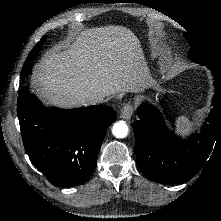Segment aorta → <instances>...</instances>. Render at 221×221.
I'll return each instance as SVG.
<instances>
[{
  "label": "aorta",
  "instance_id": "obj_1",
  "mask_svg": "<svg viewBox=\"0 0 221 221\" xmlns=\"http://www.w3.org/2000/svg\"><path fill=\"white\" fill-rule=\"evenodd\" d=\"M112 133L116 138H125L128 134V126L124 121L117 122L113 125Z\"/></svg>",
  "mask_w": 221,
  "mask_h": 221
}]
</instances>
